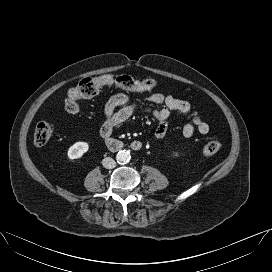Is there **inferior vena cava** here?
Here are the masks:
<instances>
[{"label": "inferior vena cava", "instance_id": "obj_1", "mask_svg": "<svg viewBox=\"0 0 272 272\" xmlns=\"http://www.w3.org/2000/svg\"><path fill=\"white\" fill-rule=\"evenodd\" d=\"M102 164L107 169H113L116 166V162L111 157H106L102 160Z\"/></svg>", "mask_w": 272, "mask_h": 272}]
</instances>
